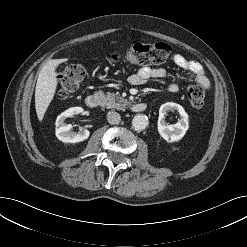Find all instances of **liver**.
Listing matches in <instances>:
<instances>
[{
	"mask_svg": "<svg viewBox=\"0 0 247 247\" xmlns=\"http://www.w3.org/2000/svg\"><path fill=\"white\" fill-rule=\"evenodd\" d=\"M68 59H51L41 69L35 88V109L39 121H42L57 89V72L59 64Z\"/></svg>",
	"mask_w": 247,
	"mask_h": 247,
	"instance_id": "liver-1",
	"label": "liver"
}]
</instances>
